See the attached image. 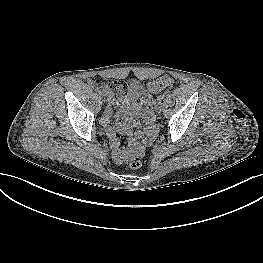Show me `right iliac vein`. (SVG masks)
<instances>
[{"label": "right iliac vein", "mask_w": 263, "mask_h": 263, "mask_svg": "<svg viewBox=\"0 0 263 263\" xmlns=\"http://www.w3.org/2000/svg\"><path fill=\"white\" fill-rule=\"evenodd\" d=\"M100 99H101L102 101H105V100L107 99V96H106L105 94H102V95L100 96Z\"/></svg>", "instance_id": "1"}]
</instances>
